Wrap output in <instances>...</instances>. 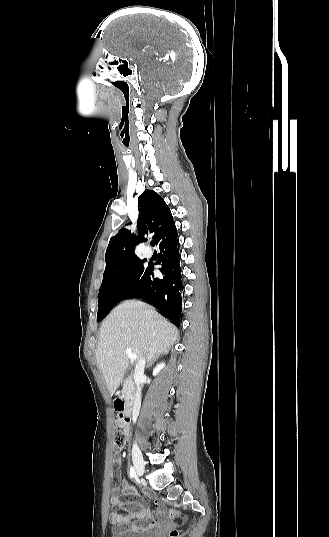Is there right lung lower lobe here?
Listing matches in <instances>:
<instances>
[{
  "label": "right lung lower lobe",
  "mask_w": 329,
  "mask_h": 537,
  "mask_svg": "<svg viewBox=\"0 0 329 537\" xmlns=\"http://www.w3.org/2000/svg\"><path fill=\"white\" fill-rule=\"evenodd\" d=\"M177 229H174L159 244L160 256L156 264L162 277L154 276V265L145 267L138 286L128 298H141L156 306L160 313L179 326L182 318V295L184 293L182 268L178 250Z\"/></svg>",
  "instance_id": "1"
}]
</instances>
